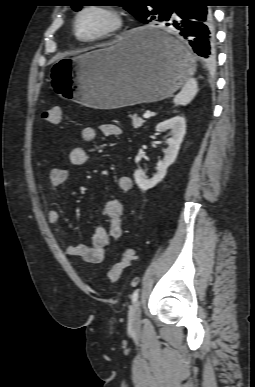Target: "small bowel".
I'll return each mask as SVG.
<instances>
[{"mask_svg":"<svg viewBox=\"0 0 255 387\" xmlns=\"http://www.w3.org/2000/svg\"><path fill=\"white\" fill-rule=\"evenodd\" d=\"M98 133L105 137L120 136L122 128L114 123H104L98 128L85 127L81 130L80 141L82 144L93 142ZM88 155L83 146L72 148L68 154V162L72 166H82L86 164ZM70 177V170L63 166L61 160L57 159L49 171V183L52 187H60L65 184ZM118 189L121 192H128L132 189V179L129 176H120L117 181ZM101 214L108 224V228L101 223H97L90 243L70 245L66 248L69 256L79 258L89 264H99L104 260L106 251L113 242L122 236L124 223L123 204L117 199L105 201L101 207ZM60 215L56 209L48 212V222L56 226L59 223Z\"/></svg>","mask_w":255,"mask_h":387,"instance_id":"obj_1","label":"small bowel"}]
</instances>
